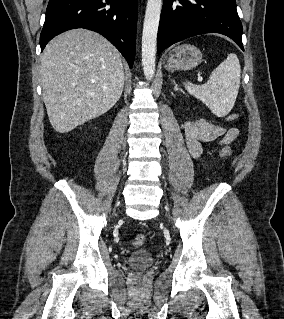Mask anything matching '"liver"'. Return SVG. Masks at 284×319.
Instances as JSON below:
<instances>
[{"label": "liver", "mask_w": 284, "mask_h": 319, "mask_svg": "<svg viewBox=\"0 0 284 319\" xmlns=\"http://www.w3.org/2000/svg\"><path fill=\"white\" fill-rule=\"evenodd\" d=\"M41 77L49 121L59 133L106 113L124 87L121 54L103 36L86 29L67 31L49 42Z\"/></svg>", "instance_id": "liver-1"}]
</instances>
